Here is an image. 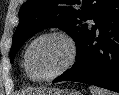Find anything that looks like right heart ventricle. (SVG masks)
<instances>
[{
	"label": "right heart ventricle",
	"mask_w": 119,
	"mask_h": 95,
	"mask_svg": "<svg viewBox=\"0 0 119 95\" xmlns=\"http://www.w3.org/2000/svg\"><path fill=\"white\" fill-rule=\"evenodd\" d=\"M27 75H28L29 78H31V76L28 73H27ZM31 79H33V78H31Z\"/></svg>",
	"instance_id": "obj_1"
}]
</instances>
